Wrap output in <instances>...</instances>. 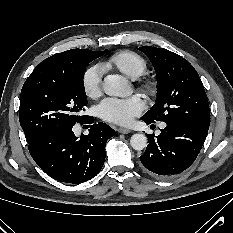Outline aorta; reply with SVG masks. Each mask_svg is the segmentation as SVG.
<instances>
[{
  "label": "aorta",
  "instance_id": "aorta-1",
  "mask_svg": "<svg viewBox=\"0 0 233 233\" xmlns=\"http://www.w3.org/2000/svg\"><path fill=\"white\" fill-rule=\"evenodd\" d=\"M104 92L110 96L125 97L131 94L132 88L126 78L121 75H108L104 79ZM133 149L140 151L147 146V137L144 134H133L130 139Z\"/></svg>",
  "mask_w": 233,
  "mask_h": 233
}]
</instances>
